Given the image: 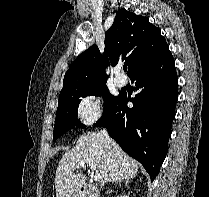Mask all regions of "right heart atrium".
<instances>
[{
	"instance_id": "right-heart-atrium-1",
	"label": "right heart atrium",
	"mask_w": 209,
	"mask_h": 197,
	"mask_svg": "<svg viewBox=\"0 0 209 197\" xmlns=\"http://www.w3.org/2000/svg\"><path fill=\"white\" fill-rule=\"evenodd\" d=\"M102 104L95 95L84 96L77 106L78 118L86 124L94 122L101 114Z\"/></svg>"
}]
</instances>
